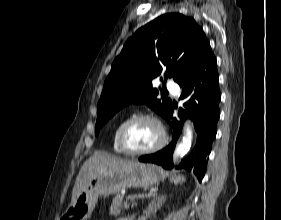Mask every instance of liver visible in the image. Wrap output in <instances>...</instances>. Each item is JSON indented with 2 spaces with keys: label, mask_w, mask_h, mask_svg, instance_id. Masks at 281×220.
<instances>
[{
  "label": "liver",
  "mask_w": 281,
  "mask_h": 220,
  "mask_svg": "<svg viewBox=\"0 0 281 220\" xmlns=\"http://www.w3.org/2000/svg\"><path fill=\"white\" fill-rule=\"evenodd\" d=\"M135 161H129L120 159L118 157L111 156L107 153L96 152L90 157L81 167L79 174L76 178L75 185L72 192L73 201L80 191H82L86 183L95 176V174L102 170H115L129 166Z\"/></svg>",
  "instance_id": "6515ba94"
}]
</instances>
